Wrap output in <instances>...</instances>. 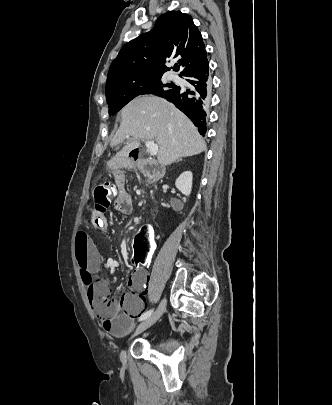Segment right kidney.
<instances>
[{"label": "right kidney", "mask_w": 332, "mask_h": 405, "mask_svg": "<svg viewBox=\"0 0 332 405\" xmlns=\"http://www.w3.org/2000/svg\"><path fill=\"white\" fill-rule=\"evenodd\" d=\"M193 174L190 171L183 172L176 180V188L186 196L191 194Z\"/></svg>", "instance_id": "1"}]
</instances>
